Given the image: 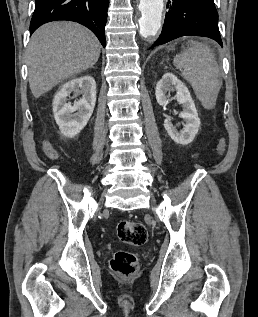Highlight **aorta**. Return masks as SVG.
Instances as JSON below:
<instances>
[{"mask_svg": "<svg viewBox=\"0 0 258 317\" xmlns=\"http://www.w3.org/2000/svg\"><path fill=\"white\" fill-rule=\"evenodd\" d=\"M163 0H140V35L144 38L155 36L161 27Z\"/></svg>", "mask_w": 258, "mask_h": 317, "instance_id": "obj_1", "label": "aorta"}]
</instances>
